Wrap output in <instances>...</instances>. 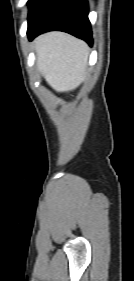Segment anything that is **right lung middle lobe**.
<instances>
[{
    "instance_id": "dd1d6c3e",
    "label": "right lung middle lobe",
    "mask_w": 134,
    "mask_h": 281,
    "mask_svg": "<svg viewBox=\"0 0 134 281\" xmlns=\"http://www.w3.org/2000/svg\"><path fill=\"white\" fill-rule=\"evenodd\" d=\"M38 0H29L28 1V5H29V13L32 11V9L34 8V6L36 5Z\"/></svg>"
}]
</instances>
